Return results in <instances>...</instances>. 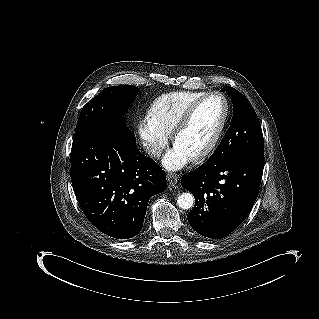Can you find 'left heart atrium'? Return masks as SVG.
Listing matches in <instances>:
<instances>
[{
	"label": "left heart atrium",
	"instance_id": "39dd6f15",
	"mask_svg": "<svg viewBox=\"0 0 319 319\" xmlns=\"http://www.w3.org/2000/svg\"><path fill=\"white\" fill-rule=\"evenodd\" d=\"M191 157L190 151L178 145L166 153L162 164L169 170H178L184 167L191 160Z\"/></svg>",
	"mask_w": 319,
	"mask_h": 319
}]
</instances>
